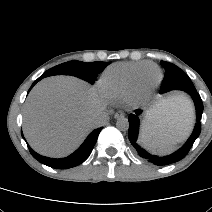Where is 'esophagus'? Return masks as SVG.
I'll return each instance as SVG.
<instances>
[{
	"label": "esophagus",
	"mask_w": 212,
	"mask_h": 212,
	"mask_svg": "<svg viewBox=\"0 0 212 212\" xmlns=\"http://www.w3.org/2000/svg\"><path fill=\"white\" fill-rule=\"evenodd\" d=\"M125 116L123 111H118L114 114V118L119 119V118H123Z\"/></svg>",
	"instance_id": "1"
}]
</instances>
